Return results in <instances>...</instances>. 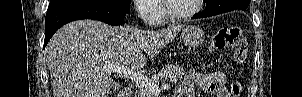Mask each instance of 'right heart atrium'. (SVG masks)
I'll return each instance as SVG.
<instances>
[{"label":"right heart atrium","instance_id":"1","mask_svg":"<svg viewBox=\"0 0 302 97\" xmlns=\"http://www.w3.org/2000/svg\"><path fill=\"white\" fill-rule=\"evenodd\" d=\"M136 12L141 20L148 25L157 24L163 18V14L157 0H137Z\"/></svg>","mask_w":302,"mask_h":97}]
</instances>
